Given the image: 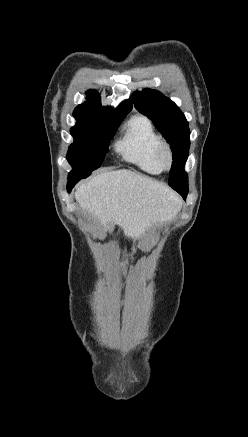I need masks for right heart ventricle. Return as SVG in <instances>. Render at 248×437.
Masks as SVG:
<instances>
[{"instance_id": "e07e8e85", "label": "right heart ventricle", "mask_w": 248, "mask_h": 437, "mask_svg": "<svg viewBox=\"0 0 248 437\" xmlns=\"http://www.w3.org/2000/svg\"><path fill=\"white\" fill-rule=\"evenodd\" d=\"M162 142L152 121L146 116H134L125 125L115 147L123 159L145 173L157 175L162 169L157 150Z\"/></svg>"}]
</instances>
